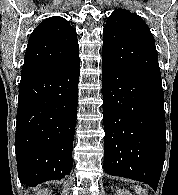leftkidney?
I'll return each instance as SVG.
<instances>
[{
    "label": "left kidney",
    "mask_w": 178,
    "mask_h": 195,
    "mask_svg": "<svg viewBox=\"0 0 178 195\" xmlns=\"http://www.w3.org/2000/svg\"><path fill=\"white\" fill-rule=\"evenodd\" d=\"M115 195H132V194L127 190L119 189V190H117Z\"/></svg>",
    "instance_id": "left-kidney-1"
}]
</instances>
